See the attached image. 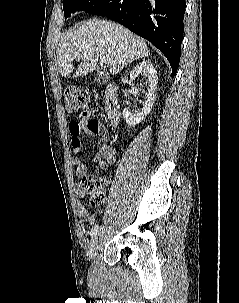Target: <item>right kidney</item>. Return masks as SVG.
<instances>
[{
  "mask_svg": "<svg viewBox=\"0 0 239 303\" xmlns=\"http://www.w3.org/2000/svg\"><path fill=\"white\" fill-rule=\"evenodd\" d=\"M140 74H145L148 77L149 90L146 93L142 111L132 114L128 109L123 110V118L130 127H135L146 118L153 107L156 97L158 77L153 64L147 60L142 61L130 72V77L135 79Z\"/></svg>",
  "mask_w": 239,
  "mask_h": 303,
  "instance_id": "obj_1",
  "label": "right kidney"
}]
</instances>
